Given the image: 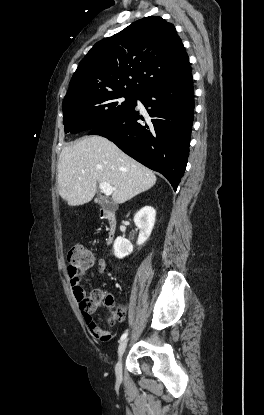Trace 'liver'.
I'll return each instance as SVG.
<instances>
[{"mask_svg": "<svg viewBox=\"0 0 264 415\" xmlns=\"http://www.w3.org/2000/svg\"><path fill=\"white\" fill-rule=\"evenodd\" d=\"M59 194L69 206L90 202L97 183L107 182L112 199L122 204L156 183L153 171L101 136H86L62 149L58 161Z\"/></svg>", "mask_w": 264, "mask_h": 415, "instance_id": "6515ba94", "label": "liver"}]
</instances>
